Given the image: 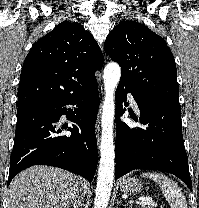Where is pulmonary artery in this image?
Wrapping results in <instances>:
<instances>
[{
  "label": "pulmonary artery",
  "instance_id": "e3ab8cb5",
  "mask_svg": "<svg viewBox=\"0 0 199 208\" xmlns=\"http://www.w3.org/2000/svg\"><path fill=\"white\" fill-rule=\"evenodd\" d=\"M128 101L136 112H139V108L136 102L135 97L132 94H128Z\"/></svg>",
  "mask_w": 199,
  "mask_h": 208
}]
</instances>
